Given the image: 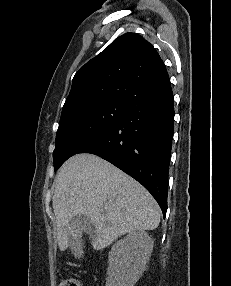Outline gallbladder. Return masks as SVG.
<instances>
[{
	"mask_svg": "<svg viewBox=\"0 0 231 286\" xmlns=\"http://www.w3.org/2000/svg\"><path fill=\"white\" fill-rule=\"evenodd\" d=\"M69 228H70V233L69 235L71 236V241H69V243H71V249L73 250V256L75 258H82L84 256H82L83 254V249L81 247L82 241H80L81 237H82V233H80L81 231H86V232H93V231H87V230H94V226L91 223V221L89 220V218H87L85 216V214H80V213H74L73 217L69 223ZM88 234H93V233H88Z\"/></svg>",
	"mask_w": 231,
	"mask_h": 286,
	"instance_id": "gallbladder-1",
	"label": "gallbladder"
}]
</instances>
